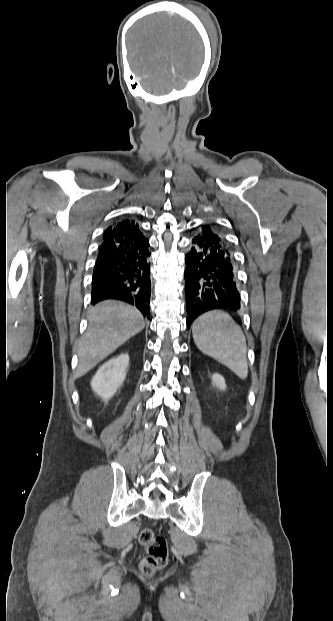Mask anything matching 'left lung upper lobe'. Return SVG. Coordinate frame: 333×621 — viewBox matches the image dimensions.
<instances>
[{
	"mask_svg": "<svg viewBox=\"0 0 333 621\" xmlns=\"http://www.w3.org/2000/svg\"><path fill=\"white\" fill-rule=\"evenodd\" d=\"M220 238L222 239L223 243L230 248L228 241L223 236H220Z\"/></svg>",
	"mask_w": 333,
	"mask_h": 621,
	"instance_id": "5c2ea615",
	"label": "left lung upper lobe"
}]
</instances>
